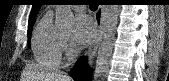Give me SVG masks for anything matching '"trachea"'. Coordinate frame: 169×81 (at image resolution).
Returning a JSON list of instances; mask_svg holds the SVG:
<instances>
[{"mask_svg":"<svg viewBox=\"0 0 169 81\" xmlns=\"http://www.w3.org/2000/svg\"><path fill=\"white\" fill-rule=\"evenodd\" d=\"M89 7L91 8V9H97V7H98V4L96 3V2H90V4H89Z\"/></svg>","mask_w":169,"mask_h":81,"instance_id":"1","label":"trachea"}]
</instances>
